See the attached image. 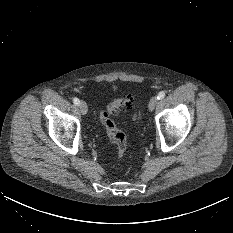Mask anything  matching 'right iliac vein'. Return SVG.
<instances>
[{
  "label": "right iliac vein",
  "mask_w": 233,
  "mask_h": 233,
  "mask_svg": "<svg viewBox=\"0 0 233 233\" xmlns=\"http://www.w3.org/2000/svg\"><path fill=\"white\" fill-rule=\"evenodd\" d=\"M79 108H80V111H81L82 115H86L87 114L88 107H87V104H86L85 101H81L80 102Z\"/></svg>",
  "instance_id": "1"
}]
</instances>
